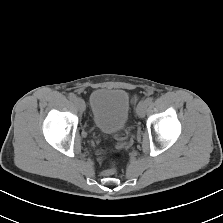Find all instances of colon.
<instances>
[{"label":"colon","mask_w":223,"mask_h":223,"mask_svg":"<svg viewBox=\"0 0 223 223\" xmlns=\"http://www.w3.org/2000/svg\"><path fill=\"white\" fill-rule=\"evenodd\" d=\"M138 100V97L134 98V102H137ZM99 155L101 156V160L105 166L104 173L107 175L115 173L120 155L118 153H110L108 155H102L100 153Z\"/></svg>","instance_id":"colon-1"}]
</instances>
